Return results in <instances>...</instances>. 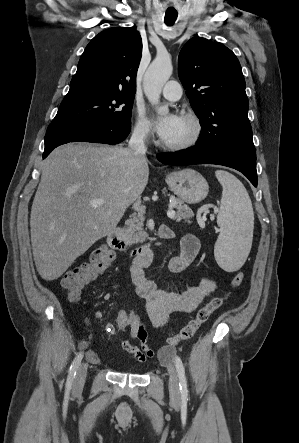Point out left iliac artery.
I'll use <instances>...</instances> for the list:
<instances>
[{"label": "left iliac artery", "instance_id": "obj_1", "mask_svg": "<svg viewBox=\"0 0 299 443\" xmlns=\"http://www.w3.org/2000/svg\"><path fill=\"white\" fill-rule=\"evenodd\" d=\"M175 365L180 381L179 386H180L181 398L182 400H187L188 399L187 380L185 375V369L182 360L179 356L175 357Z\"/></svg>", "mask_w": 299, "mask_h": 443}]
</instances>
